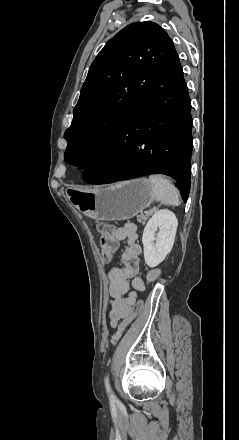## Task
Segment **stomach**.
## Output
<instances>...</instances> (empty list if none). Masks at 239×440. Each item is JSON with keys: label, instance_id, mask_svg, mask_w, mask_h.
I'll return each mask as SVG.
<instances>
[{"label": "stomach", "instance_id": "1", "mask_svg": "<svg viewBox=\"0 0 239 440\" xmlns=\"http://www.w3.org/2000/svg\"><path fill=\"white\" fill-rule=\"evenodd\" d=\"M154 202V188L146 178L117 182L94 190H74V206L92 220H130Z\"/></svg>", "mask_w": 239, "mask_h": 440}]
</instances>
